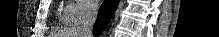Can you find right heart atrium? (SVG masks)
Here are the masks:
<instances>
[{
  "label": "right heart atrium",
  "instance_id": "obj_1",
  "mask_svg": "<svg viewBox=\"0 0 219 37\" xmlns=\"http://www.w3.org/2000/svg\"><path fill=\"white\" fill-rule=\"evenodd\" d=\"M97 10V4L92 0L70 1L63 11L64 20L70 23H82L92 18Z\"/></svg>",
  "mask_w": 219,
  "mask_h": 37
}]
</instances>
